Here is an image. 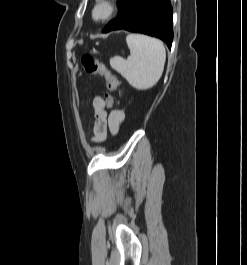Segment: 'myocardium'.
Listing matches in <instances>:
<instances>
[{
	"mask_svg": "<svg viewBox=\"0 0 247 265\" xmlns=\"http://www.w3.org/2000/svg\"><path fill=\"white\" fill-rule=\"evenodd\" d=\"M121 8L118 0H96L91 10V17L96 22L111 20Z\"/></svg>",
	"mask_w": 247,
	"mask_h": 265,
	"instance_id": "1",
	"label": "myocardium"
}]
</instances>
